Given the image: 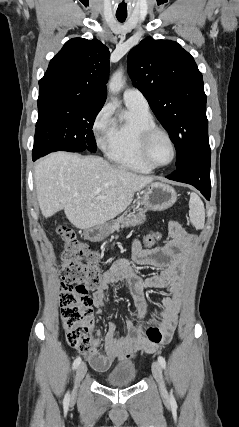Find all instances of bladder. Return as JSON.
I'll return each instance as SVG.
<instances>
[{"label":"bladder","instance_id":"obj_1","mask_svg":"<svg viewBox=\"0 0 239 427\" xmlns=\"http://www.w3.org/2000/svg\"><path fill=\"white\" fill-rule=\"evenodd\" d=\"M136 380V370L133 367L120 368L105 378L108 386L122 388L132 385Z\"/></svg>","mask_w":239,"mask_h":427}]
</instances>
